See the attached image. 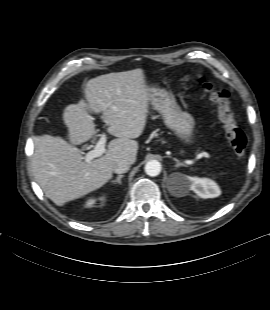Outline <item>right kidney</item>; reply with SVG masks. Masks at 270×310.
Masks as SVG:
<instances>
[{
    "label": "right kidney",
    "mask_w": 270,
    "mask_h": 310,
    "mask_svg": "<svg viewBox=\"0 0 270 310\" xmlns=\"http://www.w3.org/2000/svg\"><path fill=\"white\" fill-rule=\"evenodd\" d=\"M103 197L100 198V200H102ZM97 199L95 198H89L87 201H86V206L88 207H91L95 202H96Z\"/></svg>",
    "instance_id": "right-kidney-1"
}]
</instances>
